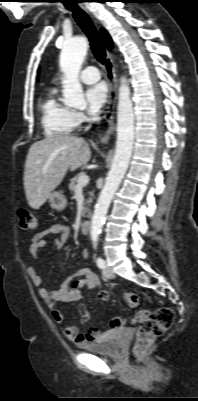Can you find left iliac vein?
Here are the masks:
<instances>
[{
  "label": "left iliac vein",
  "instance_id": "4c4485c4",
  "mask_svg": "<svg viewBox=\"0 0 198 401\" xmlns=\"http://www.w3.org/2000/svg\"><path fill=\"white\" fill-rule=\"evenodd\" d=\"M104 277L108 278V279H112L114 278V273L111 270V268H109L108 266H106L103 271H102Z\"/></svg>",
  "mask_w": 198,
  "mask_h": 401
}]
</instances>
